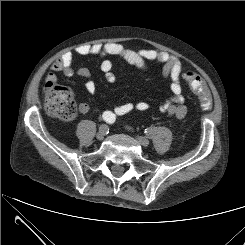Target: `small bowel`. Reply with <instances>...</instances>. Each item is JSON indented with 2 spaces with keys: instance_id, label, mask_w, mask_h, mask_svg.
I'll return each mask as SVG.
<instances>
[{
  "instance_id": "c3829d8e",
  "label": "small bowel",
  "mask_w": 245,
  "mask_h": 245,
  "mask_svg": "<svg viewBox=\"0 0 245 245\" xmlns=\"http://www.w3.org/2000/svg\"><path fill=\"white\" fill-rule=\"evenodd\" d=\"M76 53L79 55L96 54L101 59V70L108 83L116 81V74L113 70V63L109 57H116L124 62L131 64L141 70H147L148 62H156L162 65V77L171 81L170 90L171 97L166 100L160 107L161 112L176 119H183L187 114V108L184 104L185 98L183 95V86L181 76L183 73L182 61L175 56L156 50H133L117 43H94L83 44L76 48ZM74 55L71 52L64 53L58 60L50 66V72L46 75L47 82L57 81V76L54 72H62L65 76H78L89 78L90 72L86 68L74 70L73 68ZM86 90L90 94H94L96 85L93 81L86 82ZM149 108L146 101L125 102L115 106L112 110L105 111L106 115H110V119L115 121L117 116L126 115L132 111L145 112ZM80 113H87L89 105L80 103L78 106ZM107 112V113H106ZM103 113V114H104Z\"/></svg>"
}]
</instances>
